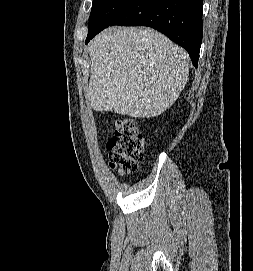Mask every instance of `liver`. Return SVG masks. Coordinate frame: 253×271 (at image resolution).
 I'll return each instance as SVG.
<instances>
[{
	"label": "liver",
	"instance_id": "1",
	"mask_svg": "<svg viewBox=\"0 0 253 271\" xmlns=\"http://www.w3.org/2000/svg\"><path fill=\"white\" fill-rule=\"evenodd\" d=\"M88 52V101L95 111L156 117L188 81L186 51L151 28L109 27L89 43Z\"/></svg>",
	"mask_w": 253,
	"mask_h": 271
}]
</instances>
